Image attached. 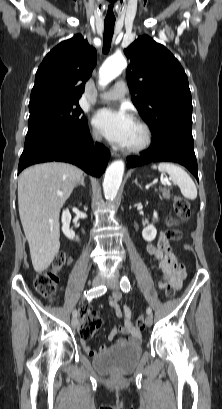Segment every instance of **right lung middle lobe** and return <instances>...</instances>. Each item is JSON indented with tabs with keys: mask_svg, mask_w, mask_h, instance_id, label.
Returning <instances> with one entry per match:
<instances>
[{
	"mask_svg": "<svg viewBox=\"0 0 222 409\" xmlns=\"http://www.w3.org/2000/svg\"><path fill=\"white\" fill-rule=\"evenodd\" d=\"M29 111L24 148L40 141L72 145L88 129L87 119L82 116L78 101L47 103L29 108Z\"/></svg>",
	"mask_w": 222,
	"mask_h": 409,
	"instance_id": "obj_1",
	"label": "right lung middle lobe"
}]
</instances>
